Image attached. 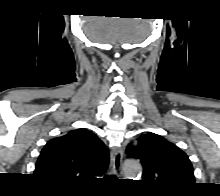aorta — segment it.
Listing matches in <instances>:
<instances>
[{"instance_id":"aorta-1","label":"aorta","mask_w":220,"mask_h":196,"mask_svg":"<svg viewBox=\"0 0 220 196\" xmlns=\"http://www.w3.org/2000/svg\"><path fill=\"white\" fill-rule=\"evenodd\" d=\"M123 173L127 178L139 177L142 173V167L136 160H127L123 165Z\"/></svg>"}]
</instances>
